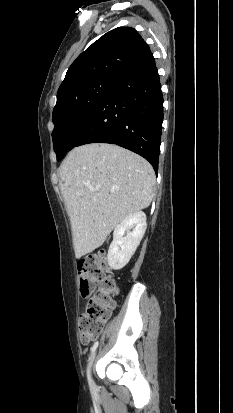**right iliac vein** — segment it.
Instances as JSON below:
<instances>
[{"mask_svg":"<svg viewBox=\"0 0 233 413\" xmlns=\"http://www.w3.org/2000/svg\"><path fill=\"white\" fill-rule=\"evenodd\" d=\"M95 356H96V353H94L93 356H92V358H91L90 369H91L92 366H93V362H94V360H95Z\"/></svg>","mask_w":233,"mask_h":413,"instance_id":"63e3f726","label":"right iliac vein"}]
</instances>
